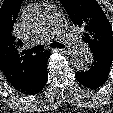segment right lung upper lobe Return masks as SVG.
Instances as JSON below:
<instances>
[{
	"instance_id": "cb5924a9",
	"label": "right lung upper lobe",
	"mask_w": 113,
	"mask_h": 113,
	"mask_svg": "<svg viewBox=\"0 0 113 113\" xmlns=\"http://www.w3.org/2000/svg\"><path fill=\"white\" fill-rule=\"evenodd\" d=\"M22 1L4 0L0 8V68L14 88L30 77L40 56L21 51L22 41L12 35Z\"/></svg>"
}]
</instances>
